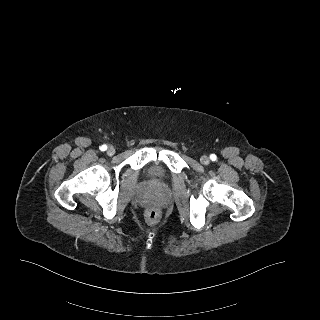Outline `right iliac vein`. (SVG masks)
Segmentation results:
<instances>
[{
    "instance_id": "1",
    "label": "right iliac vein",
    "mask_w": 320,
    "mask_h": 320,
    "mask_svg": "<svg viewBox=\"0 0 320 320\" xmlns=\"http://www.w3.org/2000/svg\"><path fill=\"white\" fill-rule=\"evenodd\" d=\"M107 154H108L109 156L114 155V154H115V148L112 147V146L109 147L108 150H107Z\"/></svg>"
}]
</instances>
